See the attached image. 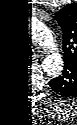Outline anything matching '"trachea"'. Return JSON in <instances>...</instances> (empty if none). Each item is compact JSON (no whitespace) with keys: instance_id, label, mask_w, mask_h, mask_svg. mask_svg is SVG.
<instances>
[{"instance_id":"1","label":"trachea","mask_w":77,"mask_h":125,"mask_svg":"<svg viewBox=\"0 0 77 125\" xmlns=\"http://www.w3.org/2000/svg\"><path fill=\"white\" fill-rule=\"evenodd\" d=\"M20 51H21L22 53H27V52H31L32 49H31L29 46H27V45H23V46L20 48Z\"/></svg>"}]
</instances>
